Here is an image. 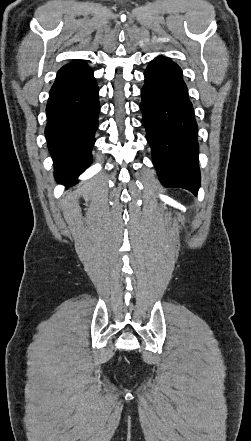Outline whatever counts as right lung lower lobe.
I'll return each mask as SVG.
<instances>
[{
	"label": "right lung lower lobe",
	"mask_w": 251,
	"mask_h": 441,
	"mask_svg": "<svg viewBox=\"0 0 251 441\" xmlns=\"http://www.w3.org/2000/svg\"><path fill=\"white\" fill-rule=\"evenodd\" d=\"M98 94L88 65L58 71L46 107L45 136L60 183H75L92 161L100 111Z\"/></svg>",
	"instance_id": "98d812e1"
}]
</instances>
